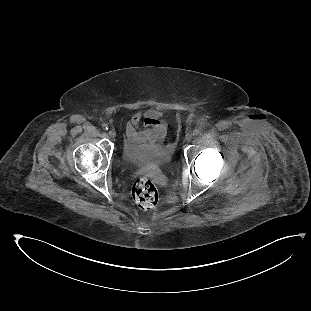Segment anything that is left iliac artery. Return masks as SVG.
Wrapping results in <instances>:
<instances>
[{"label":"left iliac artery","mask_w":311,"mask_h":311,"mask_svg":"<svg viewBox=\"0 0 311 311\" xmlns=\"http://www.w3.org/2000/svg\"><path fill=\"white\" fill-rule=\"evenodd\" d=\"M199 133H200V131H199L198 129H195V130L193 131V135H195V136L199 135Z\"/></svg>","instance_id":"44dca946"}]
</instances>
